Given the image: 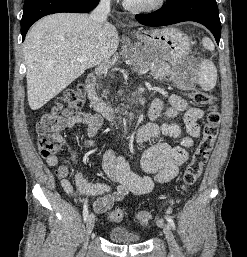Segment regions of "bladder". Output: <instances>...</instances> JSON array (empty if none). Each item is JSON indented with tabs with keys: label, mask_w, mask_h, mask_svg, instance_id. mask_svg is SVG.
Returning <instances> with one entry per match:
<instances>
[{
	"label": "bladder",
	"mask_w": 247,
	"mask_h": 257,
	"mask_svg": "<svg viewBox=\"0 0 247 257\" xmlns=\"http://www.w3.org/2000/svg\"><path fill=\"white\" fill-rule=\"evenodd\" d=\"M109 239L116 244H130L141 241V236L123 227H113L108 232Z\"/></svg>",
	"instance_id": "31cf9c89"
}]
</instances>
